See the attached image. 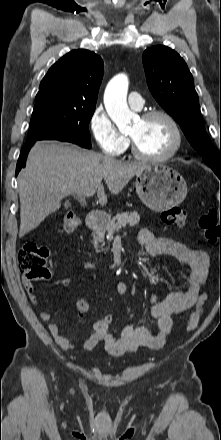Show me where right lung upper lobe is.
<instances>
[{
  "label": "right lung upper lobe",
  "instance_id": "1",
  "mask_svg": "<svg viewBox=\"0 0 221 440\" xmlns=\"http://www.w3.org/2000/svg\"><path fill=\"white\" fill-rule=\"evenodd\" d=\"M103 77V60L94 52L73 50L58 60L40 83L35 103L57 101L96 106Z\"/></svg>",
  "mask_w": 221,
  "mask_h": 440
}]
</instances>
